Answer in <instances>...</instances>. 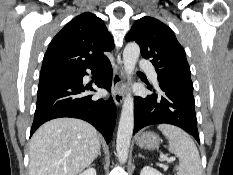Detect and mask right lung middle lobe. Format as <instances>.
Instances as JSON below:
<instances>
[{"mask_svg":"<svg viewBox=\"0 0 233 175\" xmlns=\"http://www.w3.org/2000/svg\"><path fill=\"white\" fill-rule=\"evenodd\" d=\"M65 77H67V76L40 79V80H39V85H43V84H45V83H47V82L54 81V80H59V79L65 78Z\"/></svg>","mask_w":233,"mask_h":175,"instance_id":"obj_1","label":"right lung middle lobe"}]
</instances>
